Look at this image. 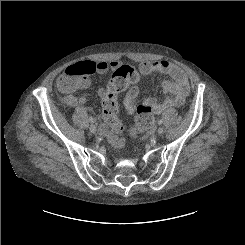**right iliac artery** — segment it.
Masks as SVG:
<instances>
[{
    "mask_svg": "<svg viewBox=\"0 0 245 245\" xmlns=\"http://www.w3.org/2000/svg\"><path fill=\"white\" fill-rule=\"evenodd\" d=\"M89 121L93 123V118L91 116L89 117Z\"/></svg>",
    "mask_w": 245,
    "mask_h": 245,
    "instance_id": "right-iliac-artery-1",
    "label": "right iliac artery"
}]
</instances>
